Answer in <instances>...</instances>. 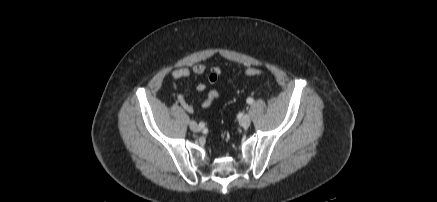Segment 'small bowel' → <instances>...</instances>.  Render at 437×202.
Masks as SVG:
<instances>
[{
  "label": "small bowel",
  "mask_w": 437,
  "mask_h": 202,
  "mask_svg": "<svg viewBox=\"0 0 437 202\" xmlns=\"http://www.w3.org/2000/svg\"><path fill=\"white\" fill-rule=\"evenodd\" d=\"M206 71V66L203 64H197L194 65L192 67H181V68H177L171 71V76L175 79V80H180V79H185V78H189L193 75L195 76H200L202 75L204 72ZM221 73V68L220 67H213L209 70L207 78L208 81L210 83H215L218 78L219 75ZM197 90L200 92H204L206 90V85L203 82H199L197 84ZM220 92L217 90H210L206 97L202 100L201 102V107L202 108H207L209 107L214 101H217L220 99ZM178 103L180 104V106L187 111L188 113H193L196 111V108L190 104L189 102H187V100L185 99V97L183 95H179L177 98Z\"/></svg>",
  "instance_id": "1"
}]
</instances>
